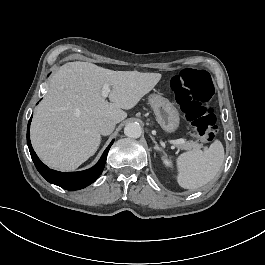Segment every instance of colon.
I'll use <instances>...</instances> for the list:
<instances>
[{"label":"colon","mask_w":265,"mask_h":265,"mask_svg":"<svg viewBox=\"0 0 265 265\" xmlns=\"http://www.w3.org/2000/svg\"><path fill=\"white\" fill-rule=\"evenodd\" d=\"M169 89L173 97L180 100L191 130L203 143L212 142L216 137L217 123L210 103L215 95L210 77L196 68L186 67L173 76Z\"/></svg>","instance_id":"1"}]
</instances>
